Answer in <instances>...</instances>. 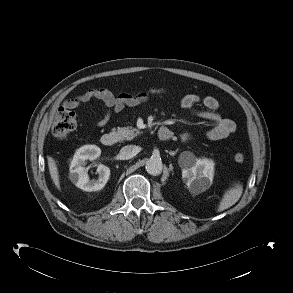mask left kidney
<instances>
[{
	"instance_id": "5707ae66",
	"label": "left kidney",
	"mask_w": 293,
	"mask_h": 293,
	"mask_svg": "<svg viewBox=\"0 0 293 293\" xmlns=\"http://www.w3.org/2000/svg\"><path fill=\"white\" fill-rule=\"evenodd\" d=\"M214 175V162L210 159H192L182 167L183 181L192 194L206 191L212 184Z\"/></svg>"
}]
</instances>
